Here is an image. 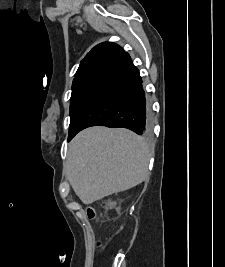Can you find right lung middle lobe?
Listing matches in <instances>:
<instances>
[{
	"mask_svg": "<svg viewBox=\"0 0 225 267\" xmlns=\"http://www.w3.org/2000/svg\"><path fill=\"white\" fill-rule=\"evenodd\" d=\"M98 76L90 77L73 83L72 85V95L70 99V126H69V135L73 131L74 121L76 119L78 110L86 97L87 93L91 89V87L97 82Z\"/></svg>",
	"mask_w": 225,
	"mask_h": 267,
	"instance_id": "right-lung-middle-lobe-1",
	"label": "right lung middle lobe"
}]
</instances>
